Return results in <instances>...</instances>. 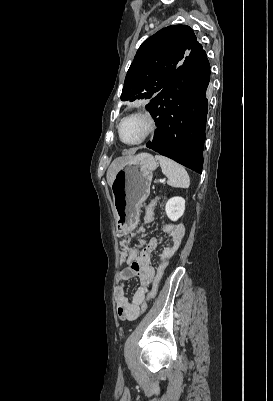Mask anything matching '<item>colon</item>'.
Here are the masks:
<instances>
[{"instance_id": "colon-1", "label": "colon", "mask_w": 273, "mask_h": 401, "mask_svg": "<svg viewBox=\"0 0 273 401\" xmlns=\"http://www.w3.org/2000/svg\"><path fill=\"white\" fill-rule=\"evenodd\" d=\"M141 281L149 282L151 280V275L149 273H143L140 276Z\"/></svg>"}]
</instances>
